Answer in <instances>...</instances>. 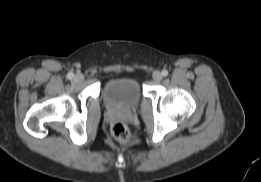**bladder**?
Returning a JSON list of instances; mask_svg holds the SVG:
<instances>
[{
  "label": "bladder",
  "mask_w": 261,
  "mask_h": 182,
  "mask_svg": "<svg viewBox=\"0 0 261 182\" xmlns=\"http://www.w3.org/2000/svg\"><path fill=\"white\" fill-rule=\"evenodd\" d=\"M102 98L109 109L131 110L140 103L142 93L136 80L114 78L103 85Z\"/></svg>",
  "instance_id": "bladder-1"
}]
</instances>
